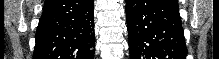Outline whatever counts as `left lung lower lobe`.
<instances>
[{
    "label": "left lung lower lobe",
    "instance_id": "left-lung-lower-lobe-1",
    "mask_svg": "<svg viewBox=\"0 0 219 59\" xmlns=\"http://www.w3.org/2000/svg\"><path fill=\"white\" fill-rule=\"evenodd\" d=\"M130 59H186L177 0H126Z\"/></svg>",
    "mask_w": 219,
    "mask_h": 59
}]
</instances>
